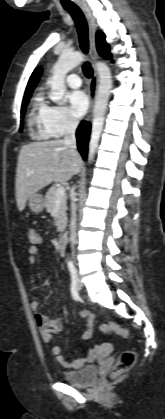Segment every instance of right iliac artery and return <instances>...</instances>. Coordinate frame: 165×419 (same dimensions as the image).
Returning <instances> with one entry per match:
<instances>
[{
	"mask_svg": "<svg viewBox=\"0 0 165 419\" xmlns=\"http://www.w3.org/2000/svg\"><path fill=\"white\" fill-rule=\"evenodd\" d=\"M68 268L71 274V294L74 300L79 301L80 297H79L78 287H77L76 270L72 264L69 265Z\"/></svg>",
	"mask_w": 165,
	"mask_h": 419,
	"instance_id": "right-iliac-artery-1",
	"label": "right iliac artery"
}]
</instances>
